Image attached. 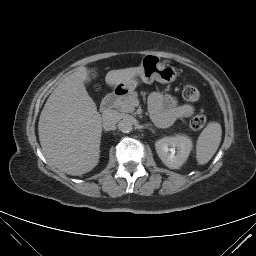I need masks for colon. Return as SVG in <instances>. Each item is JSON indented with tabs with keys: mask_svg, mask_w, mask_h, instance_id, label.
<instances>
[{
	"mask_svg": "<svg viewBox=\"0 0 256 256\" xmlns=\"http://www.w3.org/2000/svg\"><path fill=\"white\" fill-rule=\"evenodd\" d=\"M182 97L185 101L196 102L200 98V91L195 86L187 85L182 91ZM207 120L205 114H198L190 120V127L194 130H200L206 125Z\"/></svg>",
	"mask_w": 256,
	"mask_h": 256,
	"instance_id": "5ec220e1",
	"label": "colon"
}]
</instances>
